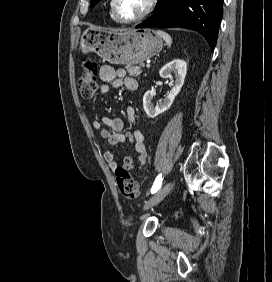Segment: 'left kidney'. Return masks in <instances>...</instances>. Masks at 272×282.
<instances>
[{
	"label": "left kidney",
	"mask_w": 272,
	"mask_h": 282,
	"mask_svg": "<svg viewBox=\"0 0 272 282\" xmlns=\"http://www.w3.org/2000/svg\"><path fill=\"white\" fill-rule=\"evenodd\" d=\"M172 73L175 74L174 79L172 77ZM186 73L187 64L181 59H174L161 68L160 77L169 78L172 83V89L170 93L162 101H159V104L156 106L152 104V99L155 96V92L149 90L145 93L143 97V107L148 117L155 118L171 107L175 97L181 91Z\"/></svg>",
	"instance_id": "obj_1"
}]
</instances>
